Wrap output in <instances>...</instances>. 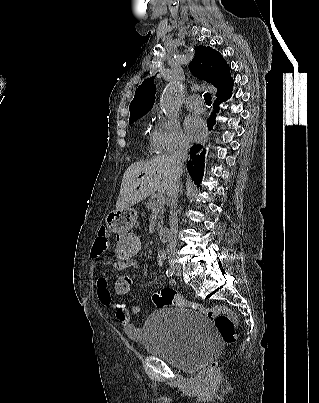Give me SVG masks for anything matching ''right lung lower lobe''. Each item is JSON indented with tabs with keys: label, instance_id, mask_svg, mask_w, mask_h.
<instances>
[{
	"label": "right lung lower lobe",
	"instance_id": "obj_1",
	"mask_svg": "<svg viewBox=\"0 0 319 403\" xmlns=\"http://www.w3.org/2000/svg\"><path fill=\"white\" fill-rule=\"evenodd\" d=\"M231 96V92L227 95L219 97L215 100L214 111L212 112L210 118L207 121V126L209 130L212 129L215 124L216 112L219 111V104L227 100ZM204 155L205 150L202 151V146L200 144L194 145L190 149L191 160L187 163V170L194 180L195 184L199 185L204 172Z\"/></svg>",
	"mask_w": 319,
	"mask_h": 403
}]
</instances>
